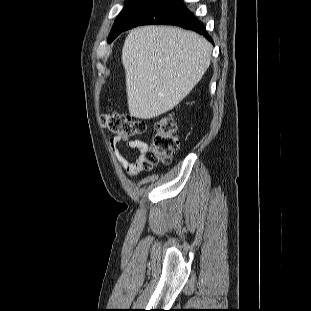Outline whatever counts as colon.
<instances>
[{"label": "colon", "instance_id": "obj_1", "mask_svg": "<svg viewBox=\"0 0 311 311\" xmlns=\"http://www.w3.org/2000/svg\"><path fill=\"white\" fill-rule=\"evenodd\" d=\"M101 124L110 132L124 137L140 135L146 130L145 122L115 112L103 114ZM176 131L177 124L173 116L163 115L158 118L150 148L142 164L144 169H150L159 163H168L171 160L180 143Z\"/></svg>", "mask_w": 311, "mask_h": 311}]
</instances>
